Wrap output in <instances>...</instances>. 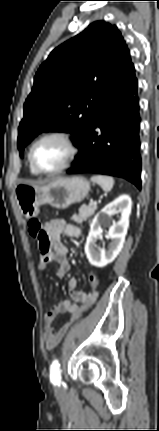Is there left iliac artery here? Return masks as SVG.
<instances>
[{"instance_id":"left-iliac-artery-1","label":"left iliac artery","mask_w":159,"mask_h":431,"mask_svg":"<svg viewBox=\"0 0 159 431\" xmlns=\"http://www.w3.org/2000/svg\"><path fill=\"white\" fill-rule=\"evenodd\" d=\"M60 379V364L58 360H54L50 367V380L54 385H59Z\"/></svg>"}]
</instances>
